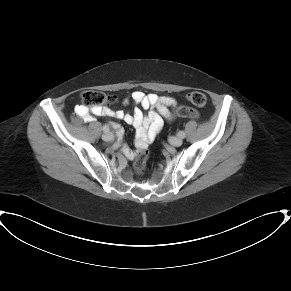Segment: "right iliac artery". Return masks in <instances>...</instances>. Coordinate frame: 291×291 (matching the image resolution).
I'll return each mask as SVG.
<instances>
[{"label":"right iliac artery","mask_w":291,"mask_h":291,"mask_svg":"<svg viewBox=\"0 0 291 291\" xmlns=\"http://www.w3.org/2000/svg\"><path fill=\"white\" fill-rule=\"evenodd\" d=\"M103 131H104V132H109V127H108V126H106V125H105V126H103Z\"/></svg>","instance_id":"82829eb1"}]
</instances>
